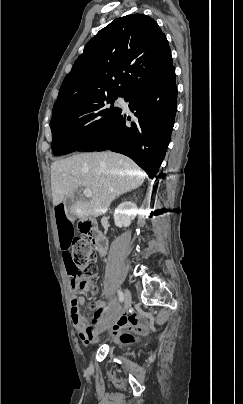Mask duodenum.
<instances>
[{
    "mask_svg": "<svg viewBox=\"0 0 243 404\" xmlns=\"http://www.w3.org/2000/svg\"><path fill=\"white\" fill-rule=\"evenodd\" d=\"M79 227L80 231L94 244L99 255L104 256L107 252L108 241L106 236L98 229L96 223L87 219L83 221Z\"/></svg>",
    "mask_w": 243,
    "mask_h": 404,
    "instance_id": "obj_1",
    "label": "duodenum"
}]
</instances>
